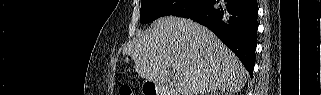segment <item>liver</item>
Here are the masks:
<instances>
[{
    "label": "liver",
    "instance_id": "obj_1",
    "mask_svg": "<svg viewBox=\"0 0 321 95\" xmlns=\"http://www.w3.org/2000/svg\"><path fill=\"white\" fill-rule=\"evenodd\" d=\"M123 54L142 78L157 85L171 75L176 95H203L217 90L239 92L247 71L237 56L210 30L189 19L163 17L131 40Z\"/></svg>",
    "mask_w": 321,
    "mask_h": 95
}]
</instances>
